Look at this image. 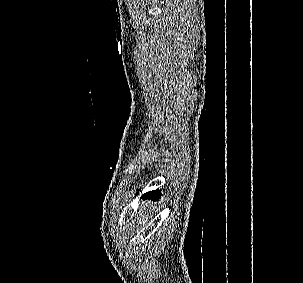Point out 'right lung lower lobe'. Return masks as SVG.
<instances>
[{"label": "right lung lower lobe", "mask_w": 303, "mask_h": 283, "mask_svg": "<svg viewBox=\"0 0 303 283\" xmlns=\"http://www.w3.org/2000/svg\"><path fill=\"white\" fill-rule=\"evenodd\" d=\"M160 196H161V192L159 190L151 191L143 195V197H145L146 199L151 198L154 200H156L157 198L159 199Z\"/></svg>", "instance_id": "98d812e1"}]
</instances>
